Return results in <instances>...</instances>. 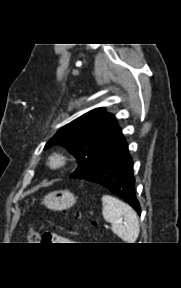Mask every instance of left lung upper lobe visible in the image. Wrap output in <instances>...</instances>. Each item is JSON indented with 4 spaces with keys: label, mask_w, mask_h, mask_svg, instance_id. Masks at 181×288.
I'll use <instances>...</instances> for the list:
<instances>
[{
    "label": "left lung upper lobe",
    "mask_w": 181,
    "mask_h": 288,
    "mask_svg": "<svg viewBox=\"0 0 181 288\" xmlns=\"http://www.w3.org/2000/svg\"><path fill=\"white\" fill-rule=\"evenodd\" d=\"M123 134L116 119L103 108H97L62 127L45 145L60 144L78 158V167L70 176L88 175L122 141Z\"/></svg>",
    "instance_id": "1"
}]
</instances>
